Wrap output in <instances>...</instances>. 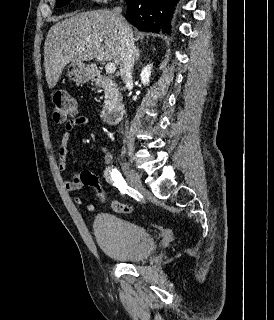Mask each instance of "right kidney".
I'll return each instance as SVG.
<instances>
[{"instance_id": "right-kidney-1", "label": "right kidney", "mask_w": 274, "mask_h": 320, "mask_svg": "<svg viewBox=\"0 0 274 320\" xmlns=\"http://www.w3.org/2000/svg\"><path fill=\"white\" fill-rule=\"evenodd\" d=\"M152 74V64H148L145 68H142L140 72V80L143 86H148L150 84V78Z\"/></svg>"}]
</instances>
